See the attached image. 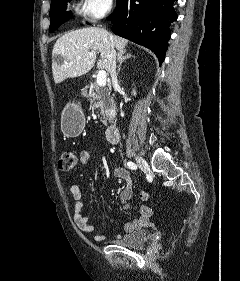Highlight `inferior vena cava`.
I'll use <instances>...</instances> for the list:
<instances>
[{"instance_id":"inferior-vena-cava-1","label":"inferior vena cava","mask_w":240,"mask_h":281,"mask_svg":"<svg viewBox=\"0 0 240 281\" xmlns=\"http://www.w3.org/2000/svg\"><path fill=\"white\" fill-rule=\"evenodd\" d=\"M110 59H111V78H112V84L114 89L116 90L119 85H118V80H117V73H116V51L112 48L110 52Z\"/></svg>"}]
</instances>
